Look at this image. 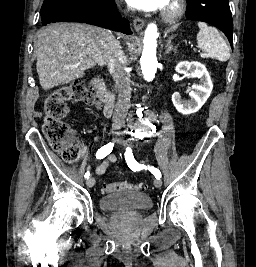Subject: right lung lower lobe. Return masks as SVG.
<instances>
[{"label":"right lung lower lobe","mask_w":256,"mask_h":267,"mask_svg":"<svg viewBox=\"0 0 256 267\" xmlns=\"http://www.w3.org/2000/svg\"><path fill=\"white\" fill-rule=\"evenodd\" d=\"M55 22H82L131 34L129 23L121 19L114 0L92 2L76 11L63 7L53 8L41 15V25Z\"/></svg>","instance_id":"right-lung-lower-lobe-1"}]
</instances>
